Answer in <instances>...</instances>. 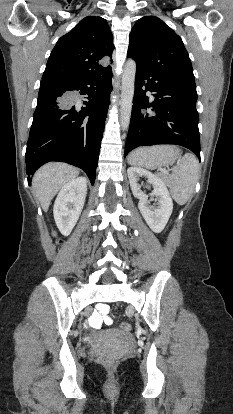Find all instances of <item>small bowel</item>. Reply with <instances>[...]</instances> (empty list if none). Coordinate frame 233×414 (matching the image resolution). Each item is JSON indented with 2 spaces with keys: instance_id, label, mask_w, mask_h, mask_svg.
Wrapping results in <instances>:
<instances>
[{
  "instance_id": "c3829d8e",
  "label": "small bowel",
  "mask_w": 233,
  "mask_h": 414,
  "mask_svg": "<svg viewBox=\"0 0 233 414\" xmlns=\"http://www.w3.org/2000/svg\"><path fill=\"white\" fill-rule=\"evenodd\" d=\"M109 306L103 301L97 302L96 311L92 313L89 318V323L93 328H100L103 323L110 325L112 323L111 317L108 316Z\"/></svg>"
}]
</instances>
